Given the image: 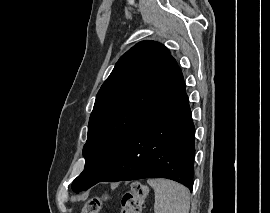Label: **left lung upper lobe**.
<instances>
[{"mask_svg": "<svg viewBox=\"0 0 270 213\" xmlns=\"http://www.w3.org/2000/svg\"><path fill=\"white\" fill-rule=\"evenodd\" d=\"M183 77L170 51L142 41L116 63L99 90L83 148L84 171L73 181L76 193L98 183L136 129Z\"/></svg>", "mask_w": 270, "mask_h": 213, "instance_id": "1", "label": "left lung upper lobe"}]
</instances>
